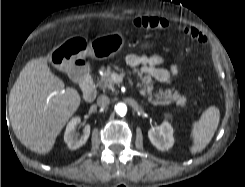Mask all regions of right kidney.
I'll return each instance as SVG.
<instances>
[{"mask_svg":"<svg viewBox=\"0 0 245 187\" xmlns=\"http://www.w3.org/2000/svg\"><path fill=\"white\" fill-rule=\"evenodd\" d=\"M81 123V119L79 117L72 118L67 124L65 133H64V141L71 150H75L83 146L90 135V125H86L83 130V134L78 135L76 133L77 126Z\"/></svg>","mask_w":245,"mask_h":187,"instance_id":"right-kidney-1","label":"right kidney"}]
</instances>
